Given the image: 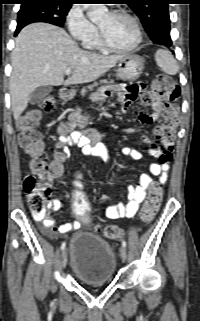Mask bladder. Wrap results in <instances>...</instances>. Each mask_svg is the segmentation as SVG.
I'll list each match as a JSON object with an SVG mask.
<instances>
[{
  "mask_svg": "<svg viewBox=\"0 0 200 321\" xmlns=\"http://www.w3.org/2000/svg\"><path fill=\"white\" fill-rule=\"evenodd\" d=\"M69 265L76 278L83 283H108L115 274L116 256L105 240L79 231L69 239Z\"/></svg>",
  "mask_w": 200,
  "mask_h": 321,
  "instance_id": "bladder-1",
  "label": "bladder"
}]
</instances>
